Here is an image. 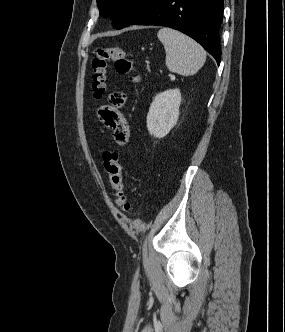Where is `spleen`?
<instances>
[{
    "mask_svg": "<svg viewBox=\"0 0 285 332\" xmlns=\"http://www.w3.org/2000/svg\"><path fill=\"white\" fill-rule=\"evenodd\" d=\"M157 36L164 46L169 71L191 76L204 65L206 51L192 38L168 27L160 29Z\"/></svg>",
    "mask_w": 285,
    "mask_h": 332,
    "instance_id": "obj_1",
    "label": "spleen"
}]
</instances>
